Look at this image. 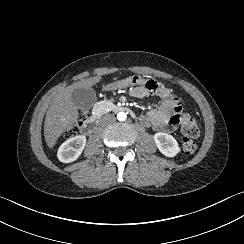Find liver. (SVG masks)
<instances>
[{
  "label": "liver",
  "instance_id": "obj_1",
  "mask_svg": "<svg viewBox=\"0 0 244 244\" xmlns=\"http://www.w3.org/2000/svg\"><path fill=\"white\" fill-rule=\"evenodd\" d=\"M101 80L100 76L83 79L61 90L47 111L44 124L46 143L52 149L59 137L79 119V110L72 96L76 89L91 88Z\"/></svg>",
  "mask_w": 244,
  "mask_h": 244
}]
</instances>
